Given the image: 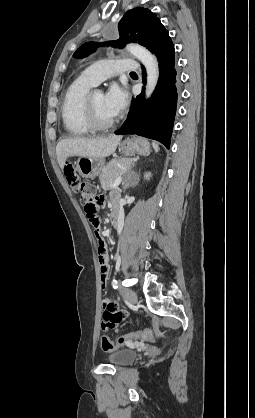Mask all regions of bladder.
<instances>
[{
  "label": "bladder",
  "instance_id": "1",
  "mask_svg": "<svg viewBox=\"0 0 255 418\" xmlns=\"http://www.w3.org/2000/svg\"><path fill=\"white\" fill-rule=\"evenodd\" d=\"M137 358V352L132 349H118L109 353L107 360L115 366H124L132 363Z\"/></svg>",
  "mask_w": 255,
  "mask_h": 418
}]
</instances>
